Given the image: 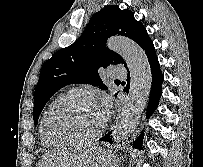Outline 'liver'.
<instances>
[{"mask_svg":"<svg viewBox=\"0 0 203 167\" xmlns=\"http://www.w3.org/2000/svg\"><path fill=\"white\" fill-rule=\"evenodd\" d=\"M93 149V147L71 148L46 154L38 167H82Z\"/></svg>","mask_w":203,"mask_h":167,"instance_id":"liver-1","label":"liver"}]
</instances>
